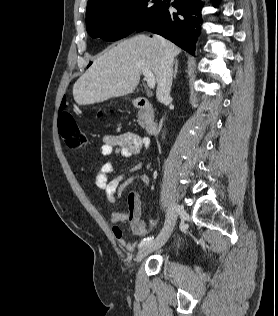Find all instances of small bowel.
<instances>
[{
  "mask_svg": "<svg viewBox=\"0 0 278 316\" xmlns=\"http://www.w3.org/2000/svg\"><path fill=\"white\" fill-rule=\"evenodd\" d=\"M150 141L147 137L127 132L120 135H106L102 139L100 153L105 156L113 154L121 157H133L140 154L143 148H149ZM144 166L142 163L135 164L130 170L129 175L114 174L113 164L110 160L105 161L96 171V184L104 191L107 200L112 205H117V192L122 190L133 181H141L148 185L150 179L147 174L141 173ZM141 200L138 195L131 194L128 198V210L125 212L114 211L110 220L113 224L112 233L119 245L128 251H133L135 243L127 242L122 228L118 225L121 222H129L132 233L136 236H145L148 233L146 222L142 219ZM149 224H157L156 219H150Z\"/></svg>",
  "mask_w": 278,
  "mask_h": 316,
  "instance_id": "obj_1",
  "label": "small bowel"
}]
</instances>
